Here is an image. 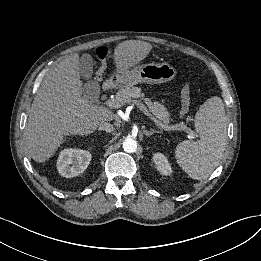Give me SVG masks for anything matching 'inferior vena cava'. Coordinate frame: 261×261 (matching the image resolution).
Segmentation results:
<instances>
[{"label":"inferior vena cava","instance_id":"602c4592","mask_svg":"<svg viewBox=\"0 0 261 261\" xmlns=\"http://www.w3.org/2000/svg\"><path fill=\"white\" fill-rule=\"evenodd\" d=\"M99 130L106 131V132H112L114 130L113 125H111L109 122H101L99 124Z\"/></svg>","mask_w":261,"mask_h":261}]
</instances>
